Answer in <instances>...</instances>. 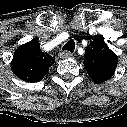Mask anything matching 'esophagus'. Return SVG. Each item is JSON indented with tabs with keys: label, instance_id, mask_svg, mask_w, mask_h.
Segmentation results:
<instances>
[{
	"label": "esophagus",
	"instance_id": "34e87169",
	"mask_svg": "<svg viewBox=\"0 0 127 127\" xmlns=\"http://www.w3.org/2000/svg\"><path fill=\"white\" fill-rule=\"evenodd\" d=\"M73 54L69 51H62L59 53V57L62 59L70 58Z\"/></svg>",
	"mask_w": 127,
	"mask_h": 127
}]
</instances>
